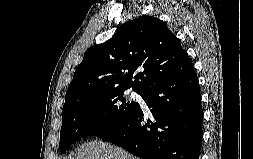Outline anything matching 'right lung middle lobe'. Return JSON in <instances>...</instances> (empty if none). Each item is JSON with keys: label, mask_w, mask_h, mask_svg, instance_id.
<instances>
[{"label": "right lung middle lobe", "mask_w": 253, "mask_h": 159, "mask_svg": "<svg viewBox=\"0 0 253 159\" xmlns=\"http://www.w3.org/2000/svg\"><path fill=\"white\" fill-rule=\"evenodd\" d=\"M124 91L97 93L64 104L61 153L83 137L105 132L124 122L139 106L137 102L127 100Z\"/></svg>", "instance_id": "dd1d6c3e"}]
</instances>
